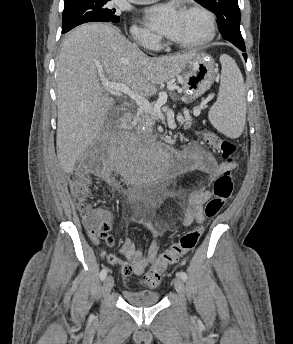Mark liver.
<instances>
[{"mask_svg": "<svg viewBox=\"0 0 293 344\" xmlns=\"http://www.w3.org/2000/svg\"><path fill=\"white\" fill-rule=\"evenodd\" d=\"M195 54L148 57L107 24H86L74 30L62 44L56 69V145L64 172L73 171L115 104L101 86L100 74L147 97L156 93L157 85L176 77Z\"/></svg>", "mask_w": 293, "mask_h": 344, "instance_id": "liver-1", "label": "liver"}]
</instances>
